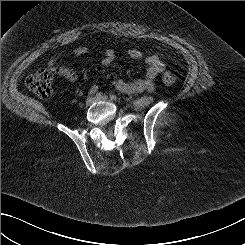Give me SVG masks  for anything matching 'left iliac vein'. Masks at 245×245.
I'll return each instance as SVG.
<instances>
[{"label":"left iliac vein","instance_id":"4c4485c4","mask_svg":"<svg viewBox=\"0 0 245 245\" xmlns=\"http://www.w3.org/2000/svg\"><path fill=\"white\" fill-rule=\"evenodd\" d=\"M96 101H109V98L106 95H101L96 97Z\"/></svg>","mask_w":245,"mask_h":245}]
</instances>
